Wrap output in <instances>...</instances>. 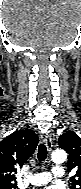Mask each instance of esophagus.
<instances>
[{
    "label": "esophagus",
    "mask_w": 81,
    "mask_h": 189,
    "mask_svg": "<svg viewBox=\"0 0 81 189\" xmlns=\"http://www.w3.org/2000/svg\"><path fill=\"white\" fill-rule=\"evenodd\" d=\"M42 140L45 143L48 151H51L52 147H53V142H52L51 135L49 133L43 134L42 135Z\"/></svg>",
    "instance_id": "obj_1"
}]
</instances>
